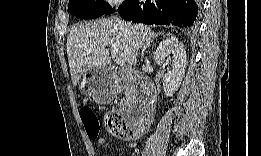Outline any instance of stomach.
<instances>
[{
    "label": "stomach",
    "mask_w": 261,
    "mask_h": 156,
    "mask_svg": "<svg viewBox=\"0 0 261 156\" xmlns=\"http://www.w3.org/2000/svg\"><path fill=\"white\" fill-rule=\"evenodd\" d=\"M81 89L88 95L100 99L104 94L112 92V77L107 68H98L85 73Z\"/></svg>",
    "instance_id": "obj_1"
}]
</instances>
